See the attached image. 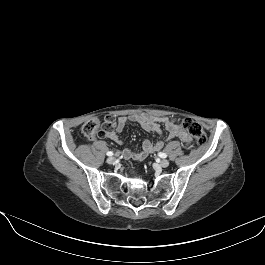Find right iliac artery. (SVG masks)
<instances>
[{"label":"right iliac artery","mask_w":265,"mask_h":265,"mask_svg":"<svg viewBox=\"0 0 265 265\" xmlns=\"http://www.w3.org/2000/svg\"><path fill=\"white\" fill-rule=\"evenodd\" d=\"M112 155H113V152H111V151L107 152V156H112Z\"/></svg>","instance_id":"right-iliac-artery-1"}]
</instances>
